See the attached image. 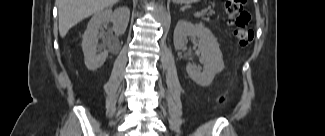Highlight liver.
<instances>
[{"instance_id":"6515ba94","label":"liver","mask_w":325,"mask_h":136,"mask_svg":"<svg viewBox=\"0 0 325 136\" xmlns=\"http://www.w3.org/2000/svg\"><path fill=\"white\" fill-rule=\"evenodd\" d=\"M116 2L118 0H56L60 36L65 37L77 23Z\"/></svg>"}]
</instances>
